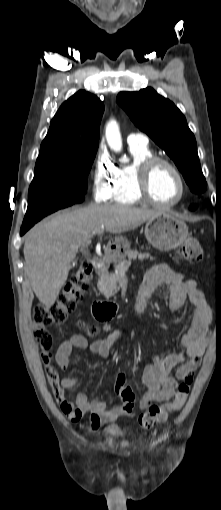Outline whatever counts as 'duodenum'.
Instances as JSON below:
<instances>
[{
    "instance_id": "410a0bca",
    "label": "duodenum",
    "mask_w": 221,
    "mask_h": 510,
    "mask_svg": "<svg viewBox=\"0 0 221 510\" xmlns=\"http://www.w3.org/2000/svg\"><path fill=\"white\" fill-rule=\"evenodd\" d=\"M94 269L97 274H102L107 269V262L104 257L95 256ZM116 305L112 302L95 301L92 303L91 310L95 318L106 319L115 312Z\"/></svg>"
}]
</instances>
